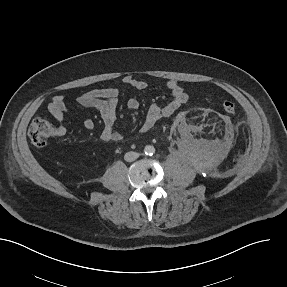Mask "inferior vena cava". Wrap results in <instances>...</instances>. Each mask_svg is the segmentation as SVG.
I'll return each instance as SVG.
<instances>
[{
	"mask_svg": "<svg viewBox=\"0 0 287 287\" xmlns=\"http://www.w3.org/2000/svg\"><path fill=\"white\" fill-rule=\"evenodd\" d=\"M138 157H139V153L133 152V151L127 152L124 155V159L128 162H132V161L136 160Z\"/></svg>",
	"mask_w": 287,
	"mask_h": 287,
	"instance_id": "602c4592",
	"label": "inferior vena cava"
}]
</instances>
